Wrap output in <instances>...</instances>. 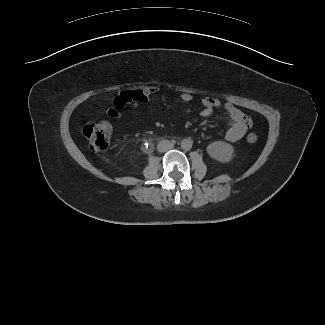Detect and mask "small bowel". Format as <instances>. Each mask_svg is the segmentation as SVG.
Segmentation results:
<instances>
[{"label": "small bowel", "mask_w": 325, "mask_h": 325, "mask_svg": "<svg viewBox=\"0 0 325 325\" xmlns=\"http://www.w3.org/2000/svg\"><path fill=\"white\" fill-rule=\"evenodd\" d=\"M158 91L156 87L148 86L131 91H125L117 96L114 100V107L107 110V115L111 118H120L121 113L118 109L129 110L133 105L138 106L146 101ZM183 103V112H189V104L193 97L189 93L181 95ZM203 109L201 115L209 118L214 114V110L223 108L227 114V122L229 129L226 131L224 139L228 142H236L240 140L251 126V120L237 107L230 103L222 104L217 98L204 97L201 100Z\"/></svg>", "instance_id": "1"}]
</instances>
